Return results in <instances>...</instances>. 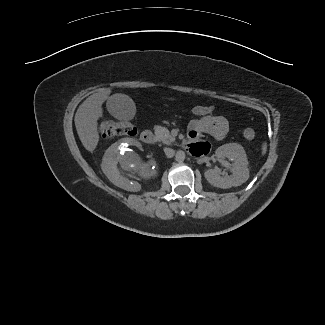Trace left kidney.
Wrapping results in <instances>:
<instances>
[{
	"instance_id": "obj_1",
	"label": "left kidney",
	"mask_w": 325,
	"mask_h": 325,
	"mask_svg": "<svg viewBox=\"0 0 325 325\" xmlns=\"http://www.w3.org/2000/svg\"><path fill=\"white\" fill-rule=\"evenodd\" d=\"M215 154L219 160L228 158L232 161V174L222 176V172L218 168L206 170L204 176L211 185L226 189L240 186L248 180V160L245 150L240 144L229 143L222 145L216 150Z\"/></svg>"
}]
</instances>
